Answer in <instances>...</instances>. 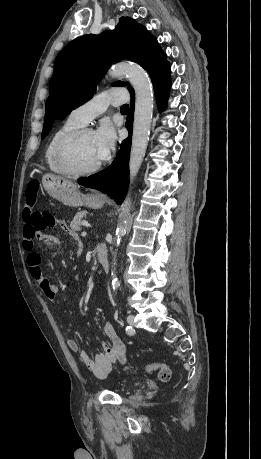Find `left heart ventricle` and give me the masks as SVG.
<instances>
[{
    "label": "left heart ventricle",
    "instance_id": "1",
    "mask_svg": "<svg viewBox=\"0 0 261 459\" xmlns=\"http://www.w3.org/2000/svg\"><path fill=\"white\" fill-rule=\"evenodd\" d=\"M70 159L79 169H88L101 162L93 133L85 134L77 140L71 149Z\"/></svg>",
    "mask_w": 261,
    "mask_h": 459
}]
</instances>
